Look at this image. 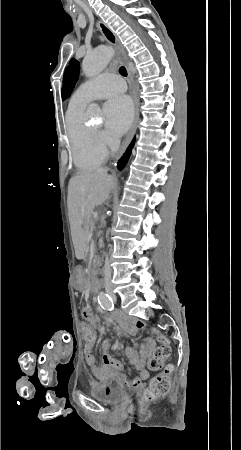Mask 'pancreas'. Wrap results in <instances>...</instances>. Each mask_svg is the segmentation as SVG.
Masks as SVG:
<instances>
[{"mask_svg":"<svg viewBox=\"0 0 241 450\" xmlns=\"http://www.w3.org/2000/svg\"><path fill=\"white\" fill-rule=\"evenodd\" d=\"M91 232H92V230H90V232H88V230H85V240H89V238H88V234L90 233L91 234Z\"/></svg>","mask_w":241,"mask_h":450,"instance_id":"pancreas-1","label":"pancreas"}]
</instances>
